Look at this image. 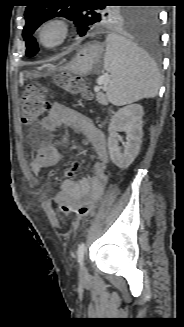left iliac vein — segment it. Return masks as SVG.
Here are the masks:
<instances>
[{
  "label": "left iliac vein",
  "instance_id": "1",
  "mask_svg": "<svg viewBox=\"0 0 184 327\" xmlns=\"http://www.w3.org/2000/svg\"><path fill=\"white\" fill-rule=\"evenodd\" d=\"M79 275L81 278H85L87 276V269L84 264H81Z\"/></svg>",
  "mask_w": 184,
  "mask_h": 327
}]
</instances>
